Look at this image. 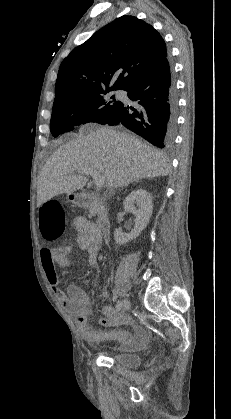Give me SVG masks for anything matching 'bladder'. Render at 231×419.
<instances>
[{
  "mask_svg": "<svg viewBox=\"0 0 231 419\" xmlns=\"http://www.w3.org/2000/svg\"><path fill=\"white\" fill-rule=\"evenodd\" d=\"M110 358L114 363L124 368H136L142 361L139 354L126 353L116 349L111 352Z\"/></svg>",
  "mask_w": 231,
  "mask_h": 419,
  "instance_id": "1",
  "label": "bladder"
}]
</instances>
